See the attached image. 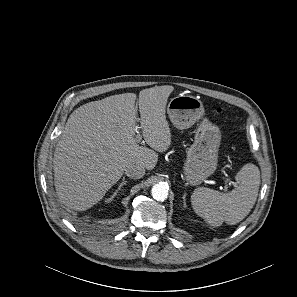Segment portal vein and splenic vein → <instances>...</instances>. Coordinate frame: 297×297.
I'll return each mask as SVG.
<instances>
[{
  "label": "portal vein and splenic vein",
  "instance_id": "18ae733b",
  "mask_svg": "<svg viewBox=\"0 0 297 297\" xmlns=\"http://www.w3.org/2000/svg\"><path fill=\"white\" fill-rule=\"evenodd\" d=\"M136 133H137V135H136V137H135V141H136V142H140V141L142 140V136H141V134H140V131L137 129V130H136ZM226 182H228V181L226 180ZM229 184H233V186H236V183L233 182V181H230ZM226 188H227V187H225L224 190H226Z\"/></svg>",
  "mask_w": 297,
  "mask_h": 297
}]
</instances>
